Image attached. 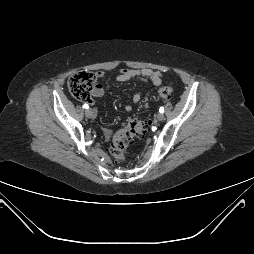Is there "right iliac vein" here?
<instances>
[{
    "mask_svg": "<svg viewBox=\"0 0 254 254\" xmlns=\"http://www.w3.org/2000/svg\"><path fill=\"white\" fill-rule=\"evenodd\" d=\"M85 115H86L87 118H92L93 112H92L90 109H87V110L85 111Z\"/></svg>",
    "mask_w": 254,
    "mask_h": 254,
    "instance_id": "63e3f726",
    "label": "right iliac vein"
}]
</instances>
